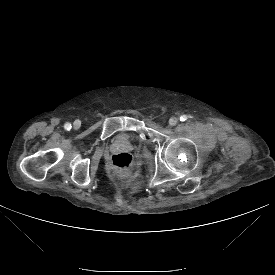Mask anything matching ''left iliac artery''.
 Instances as JSON below:
<instances>
[{"mask_svg":"<svg viewBox=\"0 0 275 275\" xmlns=\"http://www.w3.org/2000/svg\"><path fill=\"white\" fill-rule=\"evenodd\" d=\"M187 119V116L186 115H183L180 117V121H185Z\"/></svg>","mask_w":275,"mask_h":275,"instance_id":"1","label":"left iliac artery"}]
</instances>
